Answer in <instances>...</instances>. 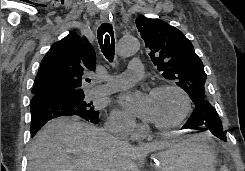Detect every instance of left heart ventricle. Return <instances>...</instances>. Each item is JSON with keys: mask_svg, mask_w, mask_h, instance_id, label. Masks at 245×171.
Listing matches in <instances>:
<instances>
[{"mask_svg": "<svg viewBox=\"0 0 245 171\" xmlns=\"http://www.w3.org/2000/svg\"><path fill=\"white\" fill-rule=\"evenodd\" d=\"M153 123L168 124L175 120L183 108L179 95L173 91L151 94Z\"/></svg>", "mask_w": 245, "mask_h": 171, "instance_id": "obj_1", "label": "left heart ventricle"}]
</instances>
